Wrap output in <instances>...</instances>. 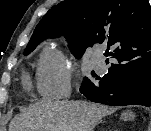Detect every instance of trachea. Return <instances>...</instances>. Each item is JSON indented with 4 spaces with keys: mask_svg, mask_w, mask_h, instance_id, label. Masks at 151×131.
<instances>
[{
    "mask_svg": "<svg viewBox=\"0 0 151 131\" xmlns=\"http://www.w3.org/2000/svg\"><path fill=\"white\" fill-rule=\"evenodd\" d=\"M104 55H105V56H109V54H108V53H104Z\"/></svg>",
    "mask_w": 151,
    "mask_h": 131,
    "instance_id": "trachea-1",
    "label": "trachea"
}]
</instances>
